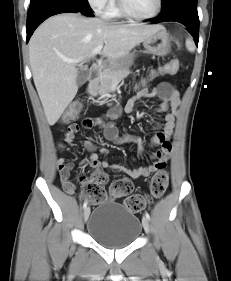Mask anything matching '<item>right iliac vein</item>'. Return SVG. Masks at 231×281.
Instances as JSON below:
<instances>
[{"mask_svg":"<svg viewBox=\"0 0 231 281\" xmlns=\"http://www.w3.org/2000/svg\"><path fill=\"white\" fill-rule=\"evenodd\" d=\"M89 215H90V208L86 207L85 210H84V214H83L85 222L87 221Z\"/></svg>","mask_w":231,"mask_h":281,"instance_id":"right-iliac-vein-1","label":"right iliac vein"}]
</instances>
